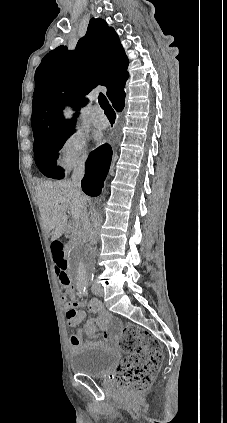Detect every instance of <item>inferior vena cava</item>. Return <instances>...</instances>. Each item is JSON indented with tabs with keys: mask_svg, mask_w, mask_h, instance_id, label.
<instances>
[{
	"mask_svg": "<svg viewBox=\"0 0 227 423\" xmlns=\"http://www.w3.org/2000/svg\"><path fill=\"white\" fill-rule=\"evenodd\" d=\"M84 174H85V166H84V162H81V164H77V166H75L73 170V174L71 176L72 182L74 186L78 188L79 192H81V180ZM84 206H85L84 211H86L87 210L86 204H84ZM86 217H88V213ZM91 219H92V223H87L84 229H86L87 231V237H88L89 243H92V245H96L98 241L97 229H98V225H100L101 223V219L100 217H96V215H92Z\"/></svg>",
	"mask_w": 227,
	"mask_h": 423,
	"instance_id": "inferior-vena-cava-1",
	"label": "inferior vena cava"
}]
</instances>
